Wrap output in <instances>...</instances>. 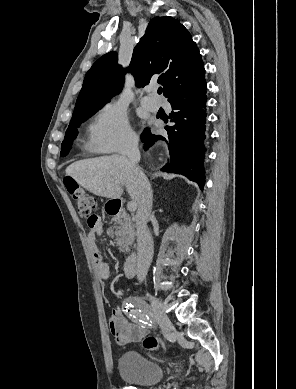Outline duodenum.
<instances>
[{"mask_svg": "<svg viewBox=\"0 0 296 389\" xmlns=\"http://www.w3.org/2000/svg\"><path fill=\"white\" fill-rule=\"evenodd\" d=\"M122 204L120 200H112L108 206V213L113 216H118L121 213ZM153 245L150 239H144L136 248V250L126 259L123 265V270L126 277H131L135 274L139 264L146 261L152 254Z\"/></svg>", "mask_w": 296, "mask_h": 389, "instance_id": "duodenum-1", "label": "duodenum"}]
</instances>
